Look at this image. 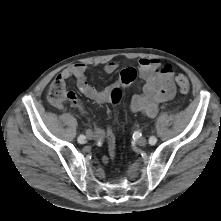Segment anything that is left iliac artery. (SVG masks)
Instances as JSON below:
<instances>
[{"instance_id":"1","label":"left iliac artery","mask_w":221,"mask_h":221,"mask_svg":"<svg viewBox=\"0 0 221 221\" xmlns=\"http://www.w3.org/2000/svg\"><path fill=\"white\" fill-rule=\"evenodd\" d=\"M156 142H157V138H156L155 136H151V137L149 138V143H150L151 145L156 144Z\"/></svg>"}]
</instances>
